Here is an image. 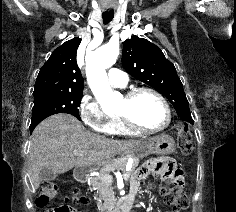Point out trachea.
Segmentation results:
<instances>
[{
	"label": "trachea",
	"mask_w": 236,
	"mask_h": 212,
	"mask_svg": "<svg viewBox=\"0 0 236 212\" xmlns=\"http://www.w3.org/2000/svg\"><path fill=\"white\" fill-rule=\"evenodd\" d=\"M103 23L108 24L114 18V12H105L102 15Z\"/></svg>",
	"instance_id": "obj_1"
}]
</instances>
